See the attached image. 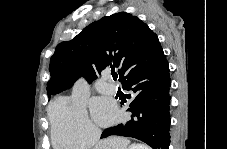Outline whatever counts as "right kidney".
I'll list each match as a JSON object with an SVG mask.
<instances>
[{"mask_svg":"<svg viewBox=\"0 0 227 149\" xmlns=\"http://www.w3.org/2000/svg\"><path fill=\"white\" fill-rule=\"evenodd\" d=\"M128 149H148V147L141 144H133Z\"/></svg>","mask_w":227,"mask_h":149,"instance_id":"right-kidney-1","label":"right kidney"}]
</instances>
